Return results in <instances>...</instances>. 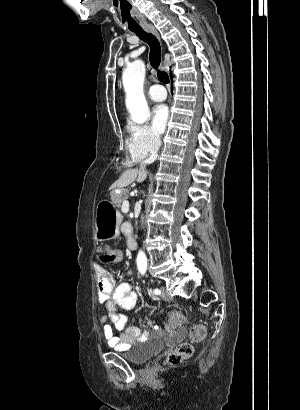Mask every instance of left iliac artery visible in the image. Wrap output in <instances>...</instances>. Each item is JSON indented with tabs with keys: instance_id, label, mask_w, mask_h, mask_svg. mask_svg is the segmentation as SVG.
<instances>
[{
	"instance_id": "left-iliac-artery-1",
	"label": "left iliac artery",
	"mask_w": 300,
	"mask_h": 410,
	"mask_svg": "<svg viewBox=\"0 0 300 410\" xmlns=\"http://www.w3.org/2000/svg\"><path fill=\"white\" fill-rule=\"evenodd\" d=\"M143 274H144V273H143ZM153 293H154L155 295H160V294H161V291H160V289L156 288V289L153 290Z\"/></svg>"
}]
</instances>
